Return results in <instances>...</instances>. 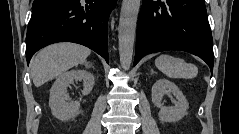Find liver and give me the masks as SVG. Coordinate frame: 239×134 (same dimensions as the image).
Wrapping results in <instances>:
<instances>
[{
    "mask_svg": "<svg viewBox=\"0 0 239 134\" xmlns=\"http://www.w3.org/2000/svg\"><path fill=\"white\" fill-rule=\"evenodd\" d=\"M90 53L89 48L74 43L47 46L31 60V77L34 85L39 87L70 68L85 63Z\"/></svg>",
    "mask_w": 239,
    "mask_h": 134,
    "instance_id": "obj_1",
    "label": "liver"
}]
</instances>
